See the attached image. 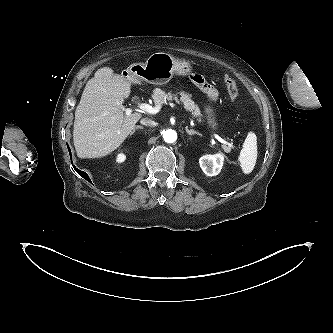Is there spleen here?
Instances as JSON below:
<instances>
[{
  "mask_svg": "<svg viewBox=\"0 0 333 333\" xmlns=\"http://www.w3.org/2000/svg\"><path fill=\"white\" fill-rule=\"evenodd\" d=\"M257 160V138L253 132H249L240 152L239 163L244 174H250Z\"/></svg>",
  "mask_w": 333,
  "mask_h": 333,
  "instance_id": "obj_1",
  "label": "spleen"
}]
</instances>
